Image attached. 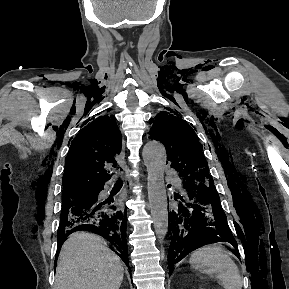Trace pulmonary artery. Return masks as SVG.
Here are the masks:
<instances>
[{"label": "pulmonary artery", "mask_w": 289, "mask_h": 289, "mask_svg": "<svg viewBox=\"0 0 289 289\" xmlns=\"http://www.w3.org/2000/svg\"><path fill=\"white\" fill-rule=\"evenodd\" d=\"M167 177H174V175L172 173H167L166 174ZM175 183H177V180H174Z\"/></svg>", "instance_id": "obj_1"}]
</instances>
